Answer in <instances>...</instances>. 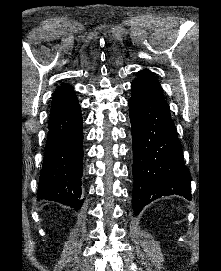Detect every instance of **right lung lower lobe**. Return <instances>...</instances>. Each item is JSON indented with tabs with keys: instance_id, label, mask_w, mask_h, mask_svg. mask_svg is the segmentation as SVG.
Here are the masks:
<instances>
[{
	"instance_id": "right-lung-lower-lobe-1",
	"label": "right lung lower lobe",
	"mask_w": 221,
	"mask_h": 271,
	"mask_svg": "<svg viewBox=\"0 0 221 271\" xmlns=\"http://www.w3.org/2000/svg\"><path fill=\"white\" fill-rule=\"evenodd\" d=\"M83 123L78 100L50 112L37 199L80 209L83 175Z\"/></svg>"
}]
</instances>
